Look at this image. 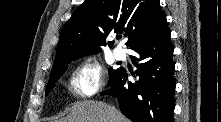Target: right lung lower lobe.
Returning a JSON list of instances; mask_svg holds the SVG:
<instances>
[{
    "instance_id": "1",
    "label": "right lung lower lobe",
    "mask_w": 221,
    "mask_h": 122,
    "mask_svg": "<svg viewBox=\"0 0 221 122\" xmlns=\"http://www.w3.org/2000/svg\"><path fill=\"white\" fill-rule=\"evenodd\" d=\"M139 81L127 80L124 68L110 80V94L117 98L121 112L133 122H173L174 63L173 46L167 22L131 48Z\"/></svg>"
}]
</instances>
